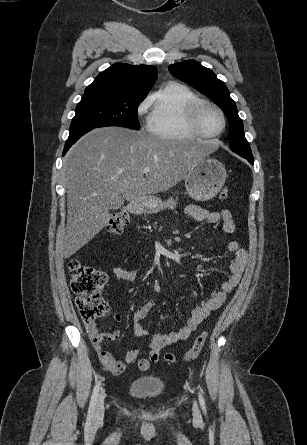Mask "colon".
<instances>
[{
    "label": "colon",
    "instance_id": "colon-1",
    "mask_svg": "<svg viewBox=\"0 0 307 445\" xmlns=\"http://www.w3.org/2000/svg\"><path fill=\"white\" fill-rule=\"evenodd\" d=\"M229 196L228 188H223L219 194L221 200H226ZM130 217L127 212L121 211L114 214L108 223L107 231L110 234H120L129 223ZM69 272L71 274V288L76 294V304L84 323L90 324L96 319L109 314V307L103 297V288L106 284L104 272L81 263L78 260L70 261ZM115 336H117L115 334ZM208 337L207 331H202L194 340L192 347L185 354L186 361L196 359ZM165 361L175 363L177 357L173 353H166Z\"/></svg>",
    "mask_w": 307,
    "mask_h": 445
}]
</instances>
